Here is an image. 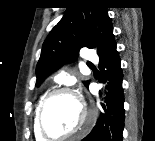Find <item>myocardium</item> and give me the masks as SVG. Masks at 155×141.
I'll use <instances>...</instances> for the list:
<instances>
[{"label": "myocardium", "instance_id": "myocardium-1", "mask_svg": "<svg viewBox=\"0 0 155 141\" xmlns=\"http://www.w3.org/2000/svg\"><path fill=\"white\" fill-rule=\"evenodd\" d=\"M59 94L71 95L79 101L80 106L82 108V112H83V119L81 123L72 131L64 133V134H60V135H53L48 132V130L46 129L44 125V115H45V109L50 99ZM36 122H37L38 131L44 139L56 140V139H67V138L76 136L80 132L84 131L86 128L89 127L91 123V117L87 111V108L85 107V104L76 97L73 91H71L69 88H66V87H58V88H54L50 90L49 92H47L41 99L38 109H37Z\"/></svg>", "mask_w": 155, "mask_h": 141}]
</instances>
